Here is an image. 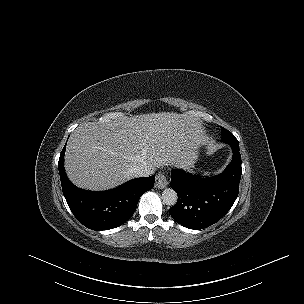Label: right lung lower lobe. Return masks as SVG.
I'll return each mask as SVG.
<instances>
[{
  "mask_svg": "<svg viewBox=\"0 0 304 304\" xmlns=\"http://www.w3.org/2000/svg\"><path fill=\"white\" fill-rule=\"evenodd\" d=\"M64 152L65 146L58 163L64 197L76 219L92 230L113 229L126 222L134 214L141 195L154 187L155 176H150L103 192L79 189L66 176Z\"/></svg>",
  "mask_w": 304,
  "mask_h": 304,
  "instance_id": "right-lung-lower-lobe-1",
  "label": "right lung lower lobe"
}]
</instances>
